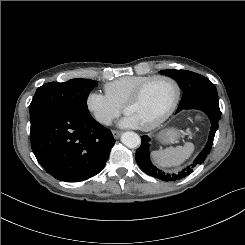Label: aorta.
Segmentation results:
<instances>
[{"label":"aorta","mask_w":245,"mask_h":245,"mask_svg":"<svg viewBox=\"0 0 245 245\" xmlns=\"http://www.w3.org/2000/svg\"><path fill=\"white\" fill-rule=\"evenodd\" d=\"M122 143L128 148H136L141 144V139L135 132H125L121 136Z\"/></svg>","instance_id":"762f6f07"}]
</instances>
